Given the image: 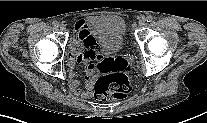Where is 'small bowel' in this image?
<instances>
[{
	"label": "small bowel",
	"mask_w": 207,
	"mask_h": 123,
	"mask_svg": "<svg viewBox=\"0 0 207 123\" xmlns=\"http://www.w3.org/2000/svg\"><path fill=\"white\" fill-rule=\"evenodd\" d=\"M86 48L85 51L83 48ZM98 43L89 30L84 20L75 23V37L70 43L68 53L69 65V88L78 97L89 99L92 97L94 84V75L96 72L95 64H88L89 61L98 59ZM77 64L85 66V89H80V83L76 78Z\"/></svg>",
	"instance_id": "1"
}]
</instances>
